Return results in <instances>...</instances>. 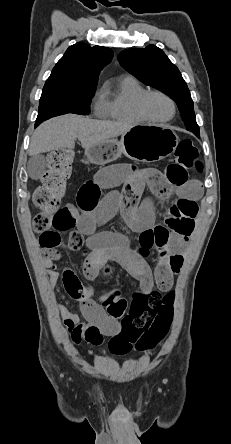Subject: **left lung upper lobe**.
I'll return each instance as SVG.
<instances>
[{
    "mask_svg": "<svg viewBox=\"0 0 231 444\" xmlns=\"http://www.w3.org/2000/svg\"><path fill=\"white\" fill-rule=\"evenodd\" d=\"M120 64L146 85L172 97L178 105L187 129L199 137L190 91L178 68L155 45L122 51Z\"/></svg>",
    "mask_w": 231,
    "mask_h": 444,
    "instance_id": "1",
    "label": "left lung upper lobe"
}]
</instances>
